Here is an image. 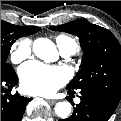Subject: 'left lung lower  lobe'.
Here are the masks:
<instances>
[{
    "label": "left lung lower lobe",
    "mask_w": 121,
    "mask_h": 121,
    "mask_svg": "<svg viewBox=\"0 0 121 121\" xmlns=\"http://www.w3.org/2000/svg\"><path fill=\"white\" fill-rule=\"evenodd\" d=\"M68 93H72L68 89ZM81 102L76 105L73 114L59 121H107L114 113L119 102L101 91L81 89Z\"/></svg>",
    "instance_id": "1"
}]
</instances>
